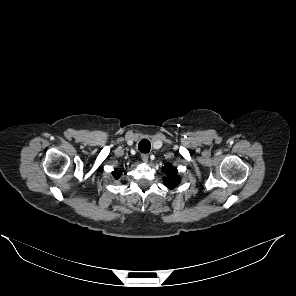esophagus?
Masks as SVG:
<instances>
[{
	"label": "esophagus",
	"instance_id": "obj_1",
	"mask_svg": "<svg viewBox=\"0 0 296 296\" xmlns=\"http://www.w3.org/2000/svg\"><path fill=\"white\" fill-rule=\"evenodd\" d=\"M141 158H142L143 162L147 163L148 159H149V156H148V154H142Z\"/></svg>",
	"mask_w": 296,
	"mask_h": 296
}]
</instances>
